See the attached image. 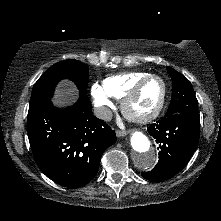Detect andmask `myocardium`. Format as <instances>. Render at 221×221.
Listing matches in <instances>:
<instances>
[{"instance_id": "obj_1", "label": "myocardium", "mask_w": 221, "mask_h": 221, "mask_svg": "<svg viewBox=\"0 0 221 221\" xmlns=\"http://www.w3.org/2000/svg\"><path fill=\"white\" fill-rule=\"evenodd\" d=\"M151 79H158L162 83V95L158 105L154 110L147 114L139 115L131 111V104L140 93L143 86ZM167 97V84L165 80L157 74H148L141 78L136 84L129 90V92L122 98L121 110L123 115L132 122L135 123H147L156 119L162 112Z\"/></svg>"}]
</instances>
